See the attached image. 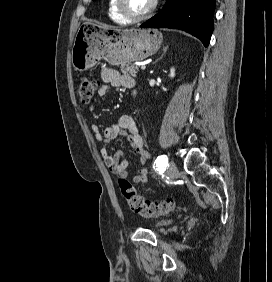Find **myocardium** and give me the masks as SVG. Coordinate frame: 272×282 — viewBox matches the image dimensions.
Returning a JSON list of instances; mask_svg holds the SVG:
<instances>
[{
	"label": "myocardium",
	"instance_id": "myocardium-1",
	"mask_svg": "<svg viewBox=\"0 0 272 282\" xmlns=\"http://www.w3.org/2000/svg\"><path fill=\"white\" fill-rule=\"evenodd\" d=\"M158 0H153L152 5L148 11L143 14L133 13L127 6L126 0H115V7L117 11L130 22H137L150 17L156 10Z\"/></svg>",
	"mask_w": 272,
	"mask_h": 282
}]
</instances>
